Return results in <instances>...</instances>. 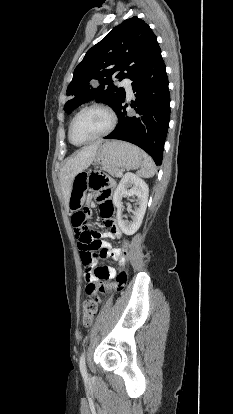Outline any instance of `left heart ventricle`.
Masks as SVG:
<instances>
[{"label": "left heart ventricle", "instance_id": "obj_1", "mask_svg": "<svg viewBox=\"0 0 233 414\" xmlns=\"http://www.w3.org/2000/svg\"><path fill=\"white\" fill-rule=\"evenodd\" d=\"M108 126L107 116L96 109L83 112L75 121L72 138L75 142H83L101 133Z\"/></svg>", "mask_w": 233, "mask_h": 414}]
</instances>
